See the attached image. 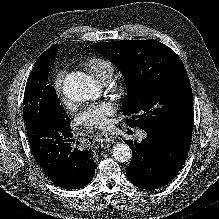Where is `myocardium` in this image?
<instances>
[{
	"label": "myocardium",
	"mask_w": 219,
	"mask_h": 219,
	"mask_svg": "<svg viewBox=\"0 0 219 219\" xmlns=\"http://www.w3.org/2000/svg\"><path fill=\"white\" fill-rule=\"evenodd\" d=\"M124 87H125V84L123 83V84H121V85L118 87V90H119L120 92H122V91L124 90Z\"/></svg>",
	"instance_id": "myocardium-1"
}]
</instances>
